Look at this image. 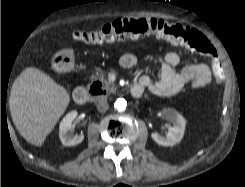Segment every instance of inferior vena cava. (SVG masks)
<instances>
[{
  "mask_svg": "<svg viewBox=\"0 0 245 187\" xmlns=\"http://www.w3.org/2000/svg\"><path fill=\"white\" fill-rule=\"evenodd\" d=\"M108 108L109 105L106 99H102L97 103V109L99 112H106Z\"/></svg>",
  "mask_w": 245,
  "mask_h": 187,
  "instance_id": "inferior-vena-cava-1",
  "label": "inferior vena cava"
}]
</instances>
